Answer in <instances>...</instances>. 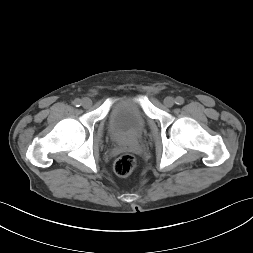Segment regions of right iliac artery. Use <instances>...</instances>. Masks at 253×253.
<instances>
[{
    "label": "right iliac artery",
    "instance_id": "82829eb1",
    "mask_svg": "<svg viewBox=\"0 0 253 253\" xmlns=\"http://www.w3.org/2000/svg\"><path fill=\"white\" fill-rule=\"evenodd\" d=\"M73 104L76 106V107H79V106H81V100L80 99H75L74 101H73Z\"/></svg>",
    "mask_w": 253,
    "mask_h": 253
}]
</instances>
